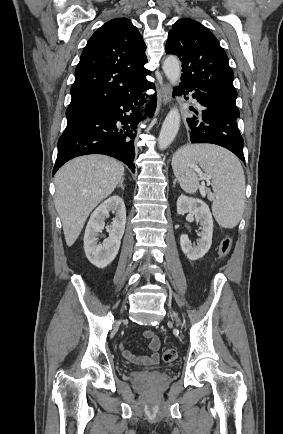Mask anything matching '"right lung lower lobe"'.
<instances>
[{"label": "right lung lower lobe", "mask_w": 283, "mask_h": 434, "mask_svg": "<svg viewBox=\"0 0 283 434\" xmlns=\"http://www.w3.org/2000/svg\"><path fill=\"white\" fill-rule=\"evenodd\" d=\"M151 87V82L144 79L129 94L68 118L67 127L58 141L53 175L68 160L87 154H105L117 158L134 173V139L138 123L145 118L141 108L144 105L148 107L146 114L149 117L153 116L156 109V96L147 104L142 95L144 90Z\"/></svg>", "instance_id": "obj_1"}]
</instances>
